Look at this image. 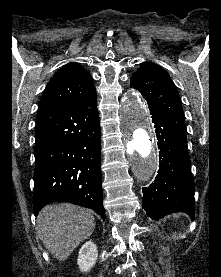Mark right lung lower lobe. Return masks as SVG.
<instances>
[{
	"instance_id": "98d812e1",
	"label": "right lung lower lobe",
	"mask_w": 221,
	"mask_h": 277,
	"mask_svg": "<svg viewBox=\"0 0 221 277\" xmlns=\"http://www.w3.org/2000/svg\"><path fill=\"white\" fill-rule=\"evenodd\" d=\"M97 93L80 102L38 110L33 211L50 202L92 208L105 219Z\"/></svg>"
}]
</instances>
